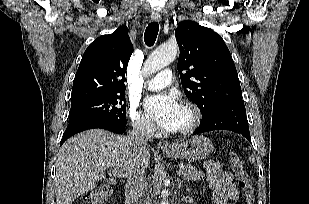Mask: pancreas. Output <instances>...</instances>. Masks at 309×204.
<instances>
[{
    "label": "pancreas",
    "mask_w": 309,
    "mask_h": 204,
    "mask_svg": "<svg viewBox=\"0 0 309 204\" xmlns=\"http://www.w3.org/2000/svg\"><path fill=\"white\" fill-rule=\"evenodd\" d=\"M184 179L196 181L200 180L204 177V173L198 171L195 167L191 165H186L183 169H181Z\"/></svg>",
    "instance_id": "pancreas-1"
}]
</instances>
